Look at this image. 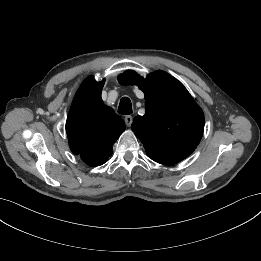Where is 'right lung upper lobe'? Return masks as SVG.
<instances>
[{
  "label": "right lung upper lobe",
  "instance_id": "obj_1",
  "mask_svg": "<svg viewBox=\"0 0 261 261\" xmlns=\"http://www.w3.org/2000/svg\"><path fill=\"white\" fill-rule=\"evenodd\" d=\"M104 83L93 78L78 90L66 122L69 146L73 153L91 166L102 165L112 154V145L125 130L123 120L103 104Z\"/></svg>",
  "mask_w": 261,
  "mask_h": 261
}]
</instances>
